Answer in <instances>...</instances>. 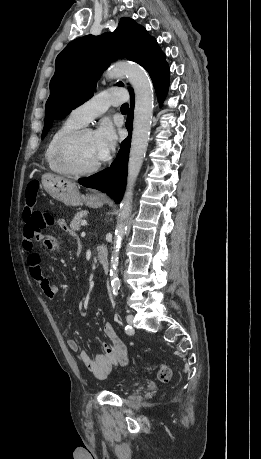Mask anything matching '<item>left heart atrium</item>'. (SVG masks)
<instances>
[{"label": "left heart atrium", "mask_w": 261, "mask_h": 459, "mask_svg": "<svg viewBox=\"0 0 261 459\" xmlns=\"http://www.w3.org/2000/svg\"><path fill=\"white\" fill-rule=\"evenodd\" d=\"M93 137L100 162L106 161L116 146L117 136L114 127L110 122L104 121L93 133Z\"/></svg>", "instance_id": "left-heart-atrium-1"}]
</instances>
